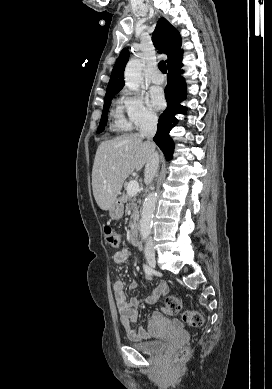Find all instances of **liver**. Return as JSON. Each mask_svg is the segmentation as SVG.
Wrapping results in <instances>:
<instances>
[{"instance_id": "liver-1", "label": "liver", "mask_w": 272, "mask_h": 389, "mask_svg": "<svg viewBox=\"0 0 272 389\" xmlns=\"http://www.w3.org/2000/svg\"><path fill=\"white\" fill-rule=\"evenodd\" d=\"M155 145L143 142L139 134L125 135L102 142L92 169V189L96 203L109 210L120 194L126 178L147 163Z\"/></svg>"}]
</instances>
